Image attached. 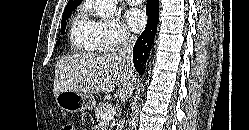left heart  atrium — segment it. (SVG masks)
I'll return each mask as SVG.
<instances>
[{"mask_svg":"<svg viewBox=\"0 0 249 130\" xmlns=\"http://www.w3.org/2000/svg\"><path fill=\"white\" fill-rule=\"evenodd\" d=\"M125 16L129 27L135 32L141 31L146 25L147 17L141 9L131 8Z\"/></svg>","mask_w":249,"mask_h":130,"instance_id":"left-heart-atrium-1","label":"left heart atrium"}]
</instances>
